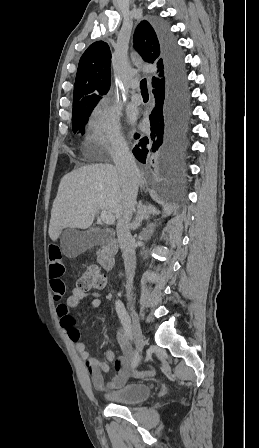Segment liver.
<instances>
[{"instance_id":"liver-1","label":"liver","mask_w":259,"mask_h":448,"mask_svg":"<svg viewBox=\"0 0 259 448\" xmlns=\"http://www.w3.org/2000/svg\"><path fill=\"white\" fill-rule=\"evenodd\" d=\"M123 198L115 166L93 164L66 174L51 210V240L56 242L64 228H90L99 210H107L119 220L123 214Z\"/></svg>"}]
</instances>
